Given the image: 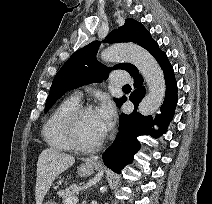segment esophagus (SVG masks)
Listing matches in <instances>:
<instances>
[{
  "mask_svg": "<svg viewBox=\"0 0 212 204\" xmlns=\"http://www.w3.org/2000/svg\"><path fill=\"white\" fill-rule=\"evenodd\" d=\"M97 161V157L96 156H92L90 158V163H95Z\"/></svg>",
  "mask_w": 212,
  "mask_h": 204,
  "instance_id": "1",
  "label": "esophagus"
}]
</instances>
